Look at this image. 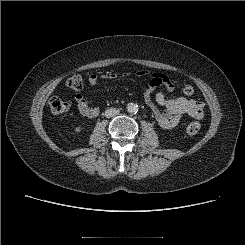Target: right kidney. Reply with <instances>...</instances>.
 <instances>
[{
    "mask_svg": "<svg viewBox=\"0 0 245 245\" xmlns=\"http://www.w3.org/2000/svg\"><path fill=\"white\" fill-rule=\"evenodd\" d=\"M81 130H82V128H81L80 126H78V127H76V128H75V130H74V131H75L76 133H80V132H81Z\"/></svg>",
    "mask_w": 245,
    "mask_h": 245,
    "instance_id": "obj_1",
    "label": "right kidney"
}]
</instances>
